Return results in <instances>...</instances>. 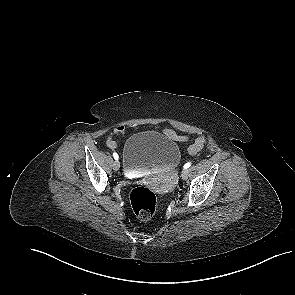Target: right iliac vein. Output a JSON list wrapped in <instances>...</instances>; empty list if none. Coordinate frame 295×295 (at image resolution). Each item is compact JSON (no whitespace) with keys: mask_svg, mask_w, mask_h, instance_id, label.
<instances>
[{"mask_svg":"<svg viewBox=\"0 0 295 295\" xmlns=\"http://www.w3.org/2000/svg\"><path fill=\"white\" fill-rule=\"evenodd\" d=\"M119 168H120V163H119V161H114V163H113V169H114V171H118L119 170Z\"/></svg>","mask_w":295,"mask_h":295,"instance_id":"right-iliac-vein-1","label":"right iliac vein"}]
</instances>
